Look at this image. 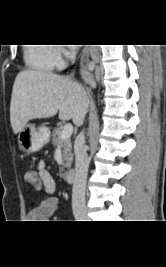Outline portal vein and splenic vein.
<instances>
[{"mask_svg": "<svg viewBox=\"0 0 166 267\" xmlns=\"http://www.w3.org/2000/svg\"><path fill=\"white\" fill-rule=\"evenodd\" d=\"M72 132H73V126L71 124H66L62 130L61 139L64 140L70 138Z\"/></svg>", "mask_w": 166, "mask_h": 267, "instance_id": "18ae733b", "label": "portal vein and splenic vein"}]
</instances>
